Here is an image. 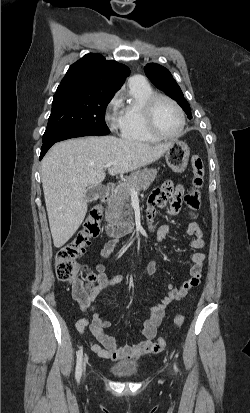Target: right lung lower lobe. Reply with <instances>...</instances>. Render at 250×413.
Here are the masks:
<instances>
[{"mask_svg": "<svg viewBox=\"0 0 250 413\" xmlns=\"http://www.w3.org/2000/svg\"><path fill=\"white\" fill-rule=\"evenodd\" d=\"M91 135L101 136V135H107V134L100 133V132H94V131H85V130L71 131V132L61 134L57 138H55L51 141H47V142L43 143V146L41 148L40 160L46 154L48 149L56 142L66 140V139H69V138L82 137V136H91Z\"/></svg>", "mask_w": 250, "mask_h": 413, "instance_id": "98d812e1", "label": "right lung lower lobe"}]
</instances>
